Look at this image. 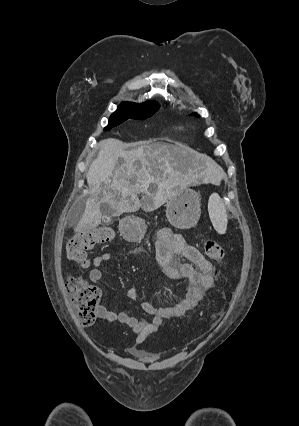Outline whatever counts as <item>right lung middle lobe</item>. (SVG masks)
Listing matches in <instances>:
<instances>
[{
    "label": "right lung middle lobe",
    "instance_id": "right-lung-middle-lobe-1",
    "mask_svg": "<svg viewBox=\"0 0 299 426\" xmlns=\"http://www.w3.org/2000/svg\"><path fill=\"white\" fill-rule=\"evenodd\" d=\"M159 105L155 102H149L146 104H135L125 102L118 106V109L110 116L109 124L105 127V130H110L127 119H145L151 116Z\"/></svg>",
    "mask_w": 299,
    "mask_h": 426
}]
</instances>
